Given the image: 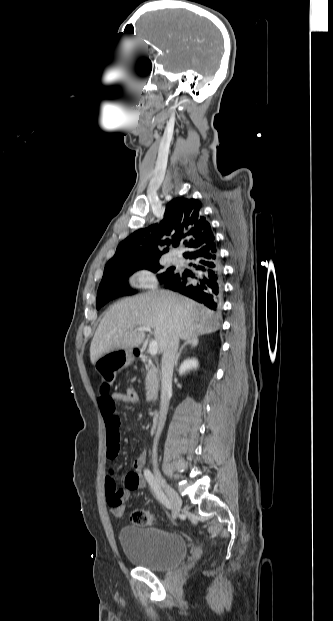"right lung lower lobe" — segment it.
<instances>
[{
    "label": "right lung lower lobe",
    "mask_w": 333,
    "mask_h": 621,
    "mask_svg": "<svg viewBox=\"0 0 333 621\" xmlns=\"http://www.w3.org/2000/svg\"><path fill=\"white\" fill-rule=\"evenodd\" d=\"M193 270L174 272L165 287L217 310L223 294V272L216 244L184 255Z\"/></svg>",
    "instance_id": "1"
}]
</instances>
